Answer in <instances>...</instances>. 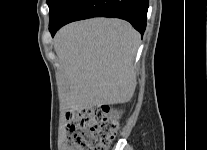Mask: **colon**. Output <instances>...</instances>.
I'll return each instance as SVG.
<instances>
[{
	"instance_id": "colon-1",
	"label": "colon",
	"mask_w": 207,
	"mask_h": 150,
	"mask_svg": "<svg viewBox=\"0 0 207 150\" xmlns=\"http://www.w3.org/2000/svg\"><path fill=\"white\" fill-rule=\"evenodd\" d=\"M73 133L68 150H107L118 130V121L108 109L92 108L67 115Z\"/></svg>"
}]
</instances>
